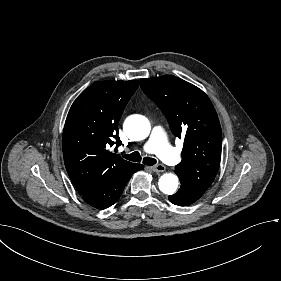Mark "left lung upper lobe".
<instances>
[{
	"label": "left lung upper lobe",
	"mask_w": 281,
	"mask_h": 281,
	"mask_svg": "<svg viewBox=\"0 0 281 281\" xmlns=\"http://www.w3.org/2000/svg\"><path fill=\"white\" fill-rule=\"evenodd\" d=\"M143 92L167 118L172 133L184 138L182 161L175 167L180 181L205 192L218 172L222 132L208 96L172 75L140 79Z\"/></svg>",
	"instance_id": "left-lung-upper-lobe-1"
}]
</instances>
